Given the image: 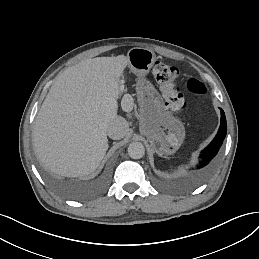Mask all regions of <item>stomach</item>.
Segmentation results:
<instances>
[{
  "label": "stomach",
  "instance_id": "obj_1",
  "mask_svg": "<svg viewBox=\"0 0 259 259\" xmlns=\"http://www.w3.org/2000/svg\"><path fill=\"white\" fill-rule=\"evenodd\" d=\"M127 59L130 70L134 74L142 76L150 71L156 60V55L148 48L135 47L128 51Z\"/></svg>",
  "mask_w": 259,
  "mask_h": 259
}]
</instances>
